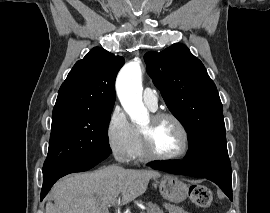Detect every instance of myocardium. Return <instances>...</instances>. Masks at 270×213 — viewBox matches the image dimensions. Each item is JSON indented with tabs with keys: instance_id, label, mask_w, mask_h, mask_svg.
I'll list each match as a JSON object with an SVG mask.
<instances>
[{
	"instance_id": "obj_1",
	"label": "myocardium",
	"mask_w": 270,
	"mask_h": 213,
	"mask_svg": "<svg viewBox=\"0 0 270 213\" xmlns=\"http://www.w3.org/2000/svg\"><path fill=\"white\" fill-rule=\"evenodd\" d=\"M171 119L179 128L183 136V146L181 150L173 155H161L154 151L151 143V129H139L142 151L146 159L159 161H174L184 158L190 148L189 132L182 120L175 114L167 111H158L151 115L153 124L163 120Z\"/></svg>"
}]
</instances>
